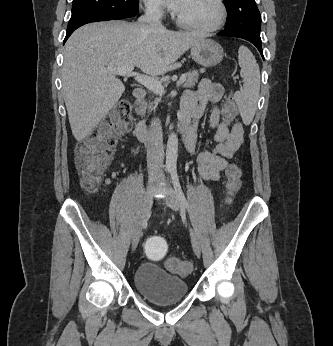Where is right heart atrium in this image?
<instances>
[{
  "label": "right heart atrium",
  "mask_w": 333,
  "mask_h": 346,
  "mask_svg": "<svg viewBox=\"0 0 333 346\" xmlns=\"http://www.w3.org/2000/svg\"><path fill=\"white\" fill-rule=\"evenodd\" d=\"M146 12L154 17L161 18L165 9L162 0H143Z\"/></svg>",
  "instance_id": "right-heart-atrium-1"
}]
</instances>
